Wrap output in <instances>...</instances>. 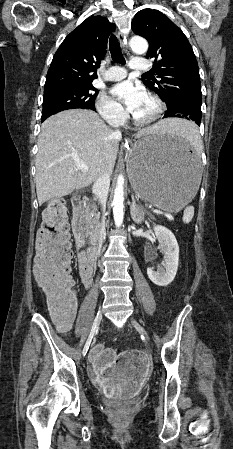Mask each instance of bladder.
<instances>
[{
	"label": "bladder",
	"mask_w": 233,
	"mask_h": 449,
	"mask_svg": "<svg viewBox=\"0 0 233 449\" xmlns=\"http://www.w3.org/2000/svg\"><path fill=\"white\" fill-rule=\"evenodd\" d=\"M113 403L117 408H125L131 406L134 403V399L116 400Z\"/></svg>",
	"instance_id": "bladder-1"
}]
</instances>
